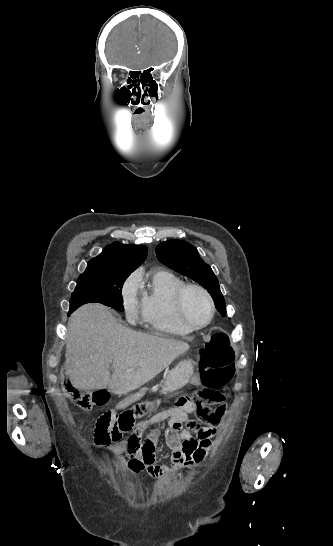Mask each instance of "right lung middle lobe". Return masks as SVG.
<instances>
[{
    "label": "right lung middle lobe",
    "mask_w": 333,
    "mask_h": 546,
    "mask_svg": "<svg viewBox=\"0 0 333 546\" xmlns=\"http://www.w3.org/2000/svg\"><path fill=\"white\" fill-rule=\"evenodd\" d=\"M132 271L100 267L83 273L71 295L69 313L83 304L96 302L124 311L121 290Z\"/></svg>",
    "instance_id": "right-lung-middle-lobe-1"
}]
</instances>
